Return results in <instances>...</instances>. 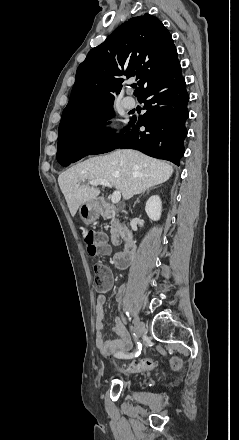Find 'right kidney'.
<instances>
[{"label": "right kidney", "instance_id": "obj_1", "mask_svg": "<svg viewBox=\"0 0 239 440\" xmlns=\"http://www.w3.org/2000/svg\"><path fill=\"white\" fill-rule=\"evenodd\" d=\"M162 204L159 196H151L146 202L145 212L153 222L160 220Z\"/></svg>", "mask_w": 239, "mask_h": 440}]
</instances>
